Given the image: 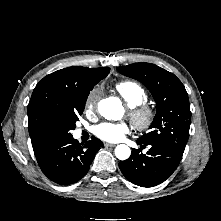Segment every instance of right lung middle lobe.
<instances>
[{
    "mask_svg": "<svg viewBox=\"0 0 221 221\" xmlns=\"http://www.w3.org/2000/svg\"><path fill=\"white\" fill-rule=\"evenodd\" d=\"M89 91L78 96L72 103L68 104L61 115L52 122L50 131L55 140L72 136L70 131L75 128L76 121L83 114Z\"/></svg>",
    "mask_w": 221,
    "mask_h": 221,
    "instance_id": "right-lung-middle-lobe-1",
    "label": "right lung middle lobe"
}]
</instances>
